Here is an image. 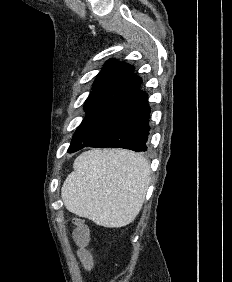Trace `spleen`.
Returning a JSON list of instances; mask_svg holds the SVG:
<instances>
[{"label":"spleen","mask_w":232,"mask_h":282,"mask_svg":"<svg viewBox=\"0 0 232 282\" xmlns=\"http://www.w3.org/2000/svg\"><path fill=\"white\" fill-rule=\"evenodd\" d=\"M61 189L66 209L104 227H122L139 214L149 183L147 160L126 150L79 155Z\"/></svg>","instance_id":"3e777b00"}]
</instances>
